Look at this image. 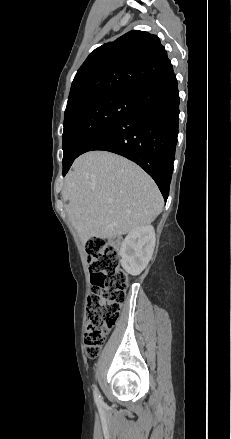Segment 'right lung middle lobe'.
I'll list each match as a JSON object with an SVG mask.
<instances>
[{"instance_id": "right-lung-middle-lobe-1", "label": "right lung middle lobe", "mask_w": 231, "mask_h": 439, "mask_svg": "<svg viewBox=\"0 0 231 439\" xmlns=\"http://www.w3.org/2000/svg\"><path fill=\"white\" fill-rule=\"evenodd\" d=\"M136 110L134 93H110L85 100L65 111L63 169L79 156L96 132Z\"/></svg>"}]
</instances>
